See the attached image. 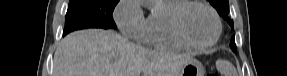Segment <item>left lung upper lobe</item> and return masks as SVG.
<instances>
[{
    "mask_svg": "<svg viewBox=\"0 0 287 76\" xmlns=\"http://www.w3.org/2000/svg\"><path fill=\"white\" fill-rule=\"evenodd\" d=\"M209 2L216 8L218 13L229 23L231 28H234L233 20L229 17V4L228 0H209ZM231 49L235 52L236 51V44L234 36L231 38Z\"/></svg>",
    "mask_w": 287,
    "mask_h": 76,
    "instance_id": "obj_1",
    "label": "left lung upper lobe"
}]
</instances>
